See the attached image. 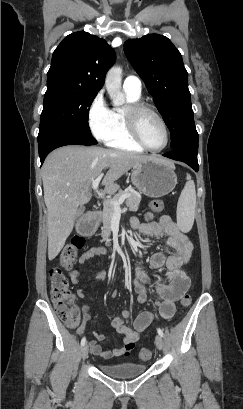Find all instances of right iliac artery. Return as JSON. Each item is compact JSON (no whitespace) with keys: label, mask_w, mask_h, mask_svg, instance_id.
<instances>
[{"label":"right iliac artery","mask_w":243,"mask_h":409,"mask_svg":"<svg viewBox=\"0 0 243 409\" xmlns=\"http://www.w3.org/2000/svg\"><path fill=\"white\" fill-rule=\"evenodd\" d=\"M85 343H86V338H85V337H83V338H82V340H81V346H84V345H85Z\"/></svg>","instance_id":"1"}]
</instances>
